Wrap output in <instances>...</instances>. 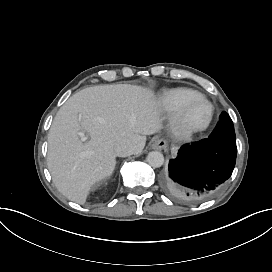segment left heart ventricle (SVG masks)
Returning <instances> with one entry per match:
<instances>
[{
	"instance_id": "left-heart-ventricle-1",
	"label": "left heart ventricle",
	"mask_w": 272,
	"mask_h": 272,
	"mask_svg": "<svg viewBox=\"0 0 272 272\" xmlns=\"http://www.w3.org/2000/svg\"><path fill=\"white\" fill-rule=\"evenodd\" d=\"M210 117V107L206 101L197 98L187 106L183 112V120L186 125H204Z\"/></svg>"
}]
</instances>
